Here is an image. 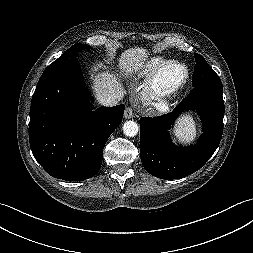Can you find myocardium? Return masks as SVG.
<instances>
[{
  "mask_svg": "<svg viewBox=\"0 0 253 253\" xmlns=\"http://www.w3.org/2000/svg\"><path fill=\"white\" fill-rule=\"evenodd\" d=\"M175 67L182 70L180 78L174 81L164 80V72ZM190 71L186 64L177 60L162 63L150 76L144 91V99L159 111H167L169 100L181 92L187 85Z\"/></svg>",
  "mask_w": 253,
  "mask_h": 253,
  "instance_id": "1",
  "label": "myocardium"
}]
</instances>
